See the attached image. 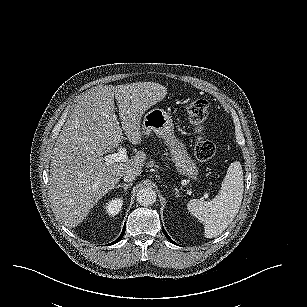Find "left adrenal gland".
<instances>
[{"mask_svg":"<svg viewBox=\"0 0 307 307\" xmlns=\"http://www.w3.org/2000/svg\"><path fill=\"white\" fill-rule=\"evenodd\" d=\"M174 190H175V197L182 196V194L180 193V190L178 189V187H175Z\"/></svg>","mask_w":307,"mask_h":307,"instance_id":"a2214340","label":"left adrenal gland"}]
</instances>
